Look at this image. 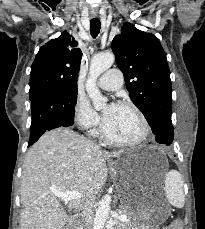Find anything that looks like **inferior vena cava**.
I'll list each match as a JSON object with an SVG mask.
<instances>
[{
    "label": "inferior vena cava",
    "instance_id": "1",
    "mask_svg": "<svg viewBox=\"0 0 205 229\" xmlns=\"http://www.w3.org/2000/svg\"><path fill=\"white\" fill-rule=\"evenodd\" d=\"M94 203V197H90L84 202L83 205V214H84V228L92 229L93 224V210L92 205Z\"/></svg>",
    "mask_w": 205,
    "mask_h": 229
}]
</instances>
